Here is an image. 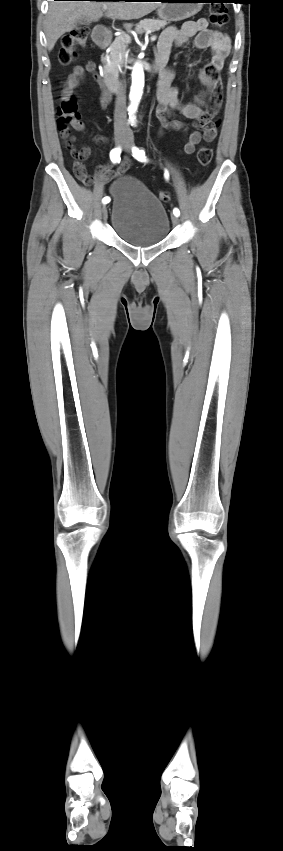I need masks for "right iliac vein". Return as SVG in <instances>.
Returning <instances> with one entry per match:
<instances>
[{"label": "right iliac vein", "instance_id": "obj_1", "mask_svg": "<svg viewBox=\"0 0 283 851\" xmlns=\"http://www.w3.org/2000/svg\"><path fill=\"white\" fill-rule=\"evenodd\" d=\"M117 143L121 144L122 142H121V140H117ZM102 214H103L104 220H106L107 216H108V211H107V207L105 205L102 207Z\"/></svg>", "mask_w": 283, "mask_h": 851}]
</instances>
